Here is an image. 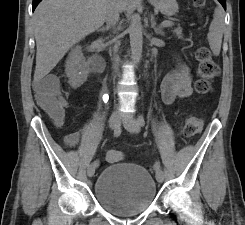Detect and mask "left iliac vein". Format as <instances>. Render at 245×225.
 I'll return each instance as SVG.
<instances>
[{"label":"left iliac vein","mask_w":245,"mask_h":225,"mask_svg":"<svg viewBox=\"0 0 245 225\" xmlns=\"http://www.w3.org/2000/svg\"><path fill=\"white\" fill-rule=\"evenodd\" d=\"M124 127L131 133H138L140 131V125L138 121L132 117L123 120ZM164 179V174L162 170L156 173V180L162 182Z\"/></svg>","instance_id":"4c4485c4"}]
</instances>
